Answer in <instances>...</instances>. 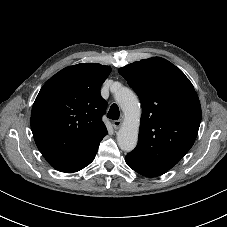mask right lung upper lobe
I'll list each match as a JSON object with an SVG mask.
<instances>
[{"label":"right lung upper lobe","instance_id":"1","mask_svg":"<svg viewBox=\"0 0 227 227\" xmlns=\"http://www.w3.org/2000/svg\"><path fill=\"white\" fill-rule=\"evenodd\" d=\"M109 66L81 63L66 67L41 88L32 107L35 143L55 169L72 173L89 165L107 135L100 95Z\"/></svg>","mask_w":227,"mask_h":227}]
</instances>
